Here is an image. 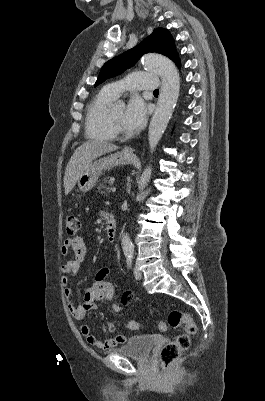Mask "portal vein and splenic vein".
I'll return each instance as SVG.
<instances>
[{
  "label": "portal vein and splenic vein",
  "mask_w": 265,
  "mask_h": 401,
  "mask_svg": "<svg viewBox=\"0 0 265 401\" xmlns=\"http://www.w3.org/2000/svg\"><path fill=\"white\" fill-rule=\"evenodd\" d=\"M110 190H111L112 192H115L116 187H115V186H111V187H110Z\"/></svg>",
  "instance_id": "portal-vein-and-splenic-vein-1"
}]
</instances>
